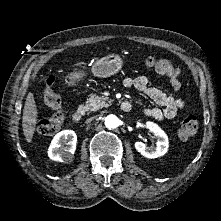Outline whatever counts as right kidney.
I'll return each mask as SVG.
<instances>
[{
  "label": "right kidney",
  "instance_id": "obj_1",
  "mask_svg": "<svg viewBox=\"0 0 221 221\" xmlns=\"http://www.w3.org/2000/svg\"><path fill=\"white\" fill-rule=\"evenodd\" d=\"M77 135L73 130H63L56 134L48 148V157L58 162H71L76 150ZM62 144H66L64 147Z\"/></svg>",
  "mask_w": 221,
  "mask_h": 221
}]
</instances>
